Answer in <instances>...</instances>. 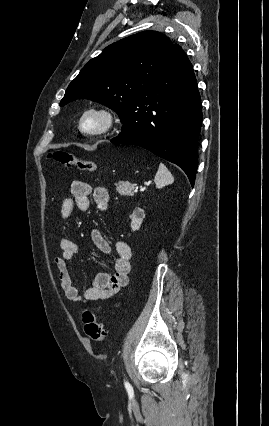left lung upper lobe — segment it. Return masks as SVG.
Masks as SVG:
<instances>
[{"mask_svg":"<svg viewBox=\"0 0 269 426\" xmlns=\"http://www.w3.org/2000/svg\"><path fill=\"white\" fill-rule=\"evenodd\" d=\"M173 46L157 31L140 32L109 45L69 84L60 106L91 99L116 111L123 122L128 106L149 89L152 76Z\"/></svg>","mask_w":269,"mask_h":426,"instance_id":"1","label":"left lung upper lobe"}]
</instances>
